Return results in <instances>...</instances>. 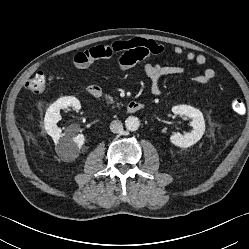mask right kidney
<instances>
[{
	"instance_id": "obj_1",
	"label": "right kidney",
	"mask_w": 249,
	"mask_h": 249,
	"mask_svg": "<svg viewBox=\"0 0 249 249\" xmlns=\"http://www.w3.org/2000/svg\"><path fill=\"white\" fill-rule=\"evenodd\" d=\"M72 107L75 110L81 108L77 98L65 96L55 101L46 111L44 118V127L48 135L52 137L56 145V152L65 161H72L78 156V152L84 144L85 137L83 134L76 135L72 129L62 130L57 126L61 120L60 109Z\"/></svg>"
}]
</instances>
